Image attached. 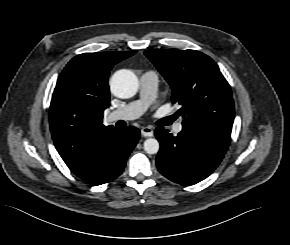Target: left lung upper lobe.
I'll list each match as a JSON object with an SVG mask.
<instances>
[{
	"mask_svg": "<svg viewBox=\"0 0 290 245\" xmlns=\"http://www.w3.org/2000/svg\"><path fill=\"white\" fill-rule=\"evenodd\" d=\"M144 54L172 88L183 127H196L230 140L234 102L230 85L217 64L195 50L152 49Z\"/></svg>",
	"mask_w": 290,
	"mask_h": 245,
	"instance_id": "5c2ea615",
	"label": "left lung upper lobe"
}]
</instances>
